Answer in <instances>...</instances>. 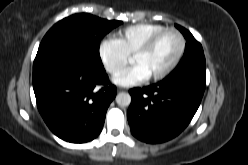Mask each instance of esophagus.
I'll return each instance as SVG.
<instances>
[{
	"label": "esophagus",
	"instance_id": "esophagus-1",
	"mask_svg": "<svg viewBox=\"0 0 248 165\" xmlns=\"http://www.w3.org/2000/svg\"><path fill=\"white\" fill-rule=\"evenodd\" d=\"M126 89L125 88H122V87H118L117 88V92H122V91H125Z\"/></svg>",
	"mask_w": 248,
	"mask_h": 165
}]
</instances>
